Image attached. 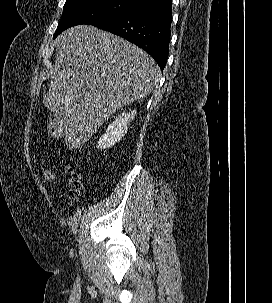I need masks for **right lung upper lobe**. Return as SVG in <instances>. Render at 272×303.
Returning a JSON list of instances; mask_svg holds the SVG:
<instances>
[{
	"label": "right lung upper lobe",
	"mask_w": 272,
	"mask_h": 303,
	"mask_svg": "<svg viewBox=\"0 0 272 303\" xmlns=\"http://www.w3.org/2000/svg\"><path fill=\"white\" fill-rule=\"evenodd\" d=\"M130 1L135 2L138 6H142V5H145L147 3H152L156 0H130Z\"/></svg>",
	"instance_id": "obj_1"
}]
</instances>
